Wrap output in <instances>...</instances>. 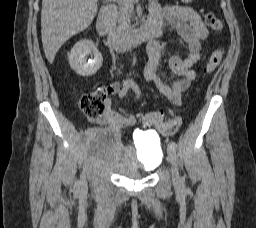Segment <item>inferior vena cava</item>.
<instances>
[{
  "instance_id": "602c4592",
  "label": "inferior vena cava",
  "mask_w": 256,
  "mask_h": 228,
  "mask_svg": "<svg viewBox=\"0 0 256 228\" xmlns=\"http://www.w3.org/2000/svg\"><path fill=\"white\" fill-rule=\"evenodd\" d=\"M117 19V7L115 5H110L105 9V22L107 25V31L113 35L116 27Z\"/></svg>"
}]
</instances>
